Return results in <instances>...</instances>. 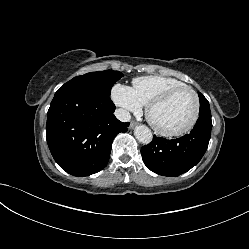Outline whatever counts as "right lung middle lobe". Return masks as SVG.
Segmentation results:
<instances>
[{
  "instance_id": "right-lung-middle-lobe-1",
  "label": "right lung middle lobe",
  "mask_w": 249,
  "mask_h": 249,
  "mask_svg": "<svg viewBox=\"0 0 249 249\" xmlns=\"http://www.w3.org/2000/svg\"><path fill=\"white\" fill-rule=\"evenodd\" d=\"M121 77H123V74L119 71L105 70L99 72H90L81 76L74 77L67 83L87 85L96 88L99 92L110 95L111 87Z\"/></svg>"
}]
</instances>
